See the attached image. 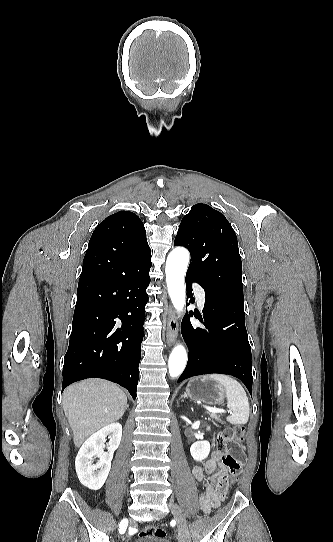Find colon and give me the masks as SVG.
Here are the masks:
<instances>
[{"instance_id":"1","label":"colon","mask_w":333,"mask_h":542,"mask_svg":"<svg viewBox=\"0 0 333 542\" xmlns=\"http://www.w3.org/2000/svg\"><path fill=\"white\" fill-rule=\"evenodd\" d=\"M245 429L242 426L226 425L219 431L217 438V447L224 454V464L230 470V478H226L219 486V492L226 494L232 482L237 478L241 471V454L237 449V444L243 440ZM142 540H161L164 538V530L155 524L146 526L140 533Z\"/></svg>"}]
</instances>
